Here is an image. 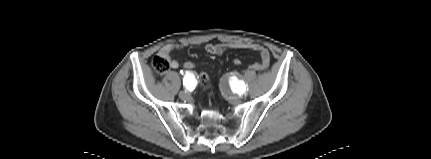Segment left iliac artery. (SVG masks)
<instances>
[{"label": "left iliac artery", "instance_id": "left-iliac-artery-1", "mask_svg": "<svg viewBox=\"0 0 431 159\" xmlns=\"http://www.w3.org/2000/svg\"><path fill=\"white\" fill-rule=\"evenodd\" d=\"M232 85H234L235 91L238 94H243L245 92V90H246V85H245V83L243 81L234 80L233 83H232Z\"/></svg>", "mask_w": 431, "mask_h": 159}]
</instances>
